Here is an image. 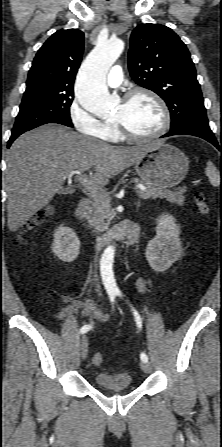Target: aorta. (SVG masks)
<instances>
[{
  "instance_id": "aorta-1",
  "label": "aorta",
  "mask_w": 222,
  "mask_h": 447,
  "mask_svg": "<svg viewBox=\"0 0 222 447\" xmlns=\"http://www.w3.org/2000/svg\"><path fill=\"white\" fill-rule=\"evenodd\" d=\"M123 50L124 42L119 38L99 42L82 63L77 78L76 99L88 112L103 116L112 110L114 100L108 92L105 78ZM114 254L115 248L109 246L103 258L111 264ZM104 279L109 283L114 281L111 269L106 272Z\"/></svg>"
}]
</instances>
